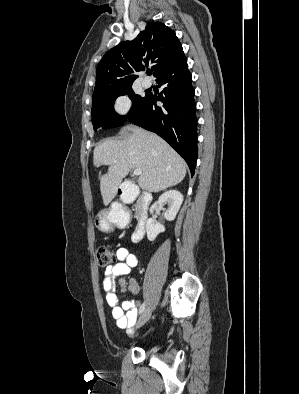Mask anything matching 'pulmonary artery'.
Instances as JSON below:
<instances>
[{"label":"pulmonary artery","mask_w":299,"mask_h":394,"mask_svg":"<svg viewBox=\"0 0 299 394\" xmlns=\"http://www.w3.org/2000/svg\"><path fill=\"white\" fill-rule=\"evenodd\" d=\"M142 85L145 88H150L152 86V82L149 79H144L143 82H142Z\"/></svg>","instance_id":"1"}]
</instances>
